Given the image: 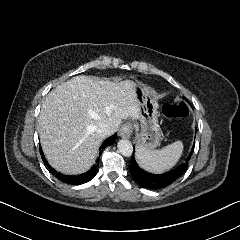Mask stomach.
Segmentation results:
<instances>
[{
  "label": "stomach",
  "instance_id": "0dacf381",
  "mask_svg": "<svg viewBox=\"0 0 240 240\" xmlns=\"http://www.w3.org/2000/svg\"><path fill=\"white\" fill-rule=\"evenodd\" d=\"M133 94L139 107L138 122H133L136 146L153 150L161 143L157 116L159 115V94L156 89L142 81L133 84Z\"/></svg>",
  "mask_w": 240,
  "mask_h": 240
}]
</instances>
